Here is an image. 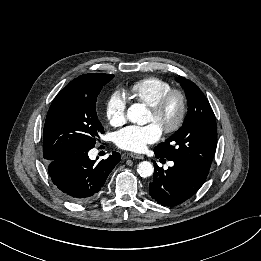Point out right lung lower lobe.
<instances>
[{
	"label": "right lung lower lobe",
	"mask_w": 261,
	"mask_h": 261,
	"mask_svg": "<svg viewBox=\"0 0 261 261\" xmlns=\"http://www.w3.org/2000/svg\"><path fill=\"white\" fill-rule=\"evenodd\" d=\"M88 151L67 155L48 166L53 184L60 193L73 202H87L94 199L104 186L110 172L121 160L117 152L99 163L90 160Z\"/></svg>",
	"instance_id": "98d812e1"
}]
</instances>
